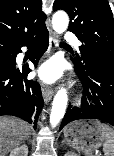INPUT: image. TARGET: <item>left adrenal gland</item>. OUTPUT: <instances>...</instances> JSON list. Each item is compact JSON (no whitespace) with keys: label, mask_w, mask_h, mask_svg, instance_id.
Segmentation results:
<instances>
[{"label":"left adrenal gland","mask_w":114,"mask_h":156,"mask_svg":"<svg viewBox=\"0 0 114 156\" xmlns=\"http://www.w3.org/2000/svg\"><path fill=\"white\" fill-rule=\"evenodd\" d=\"M64 143H65V140L62 141V144H64Z\"/></svg>","instance_id":"1"}]
</instances>
